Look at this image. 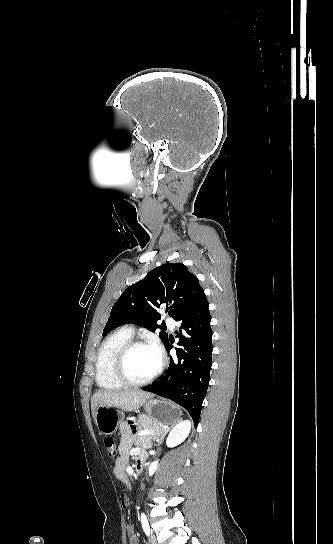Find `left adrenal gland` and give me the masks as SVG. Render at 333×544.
Instances as JSON below:
<instances>
[{"instance_id": "1", "label": "left adrenal gland", "mask_w": 333, "mask_h": 544, "mask_svg": "<svg viewBox=\"0 0 333 544\" xmlns=\"http://www.w3.org/2000/svg\"><path fill=\"white\" fill-rule=\"evenodd\" d=\"M170 428L163 432H159L155 435L154 439L157 441V443L160 445L165 437V435L169 432Z\"/></svg>"}]
</instances>
